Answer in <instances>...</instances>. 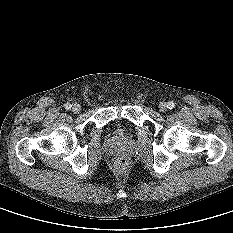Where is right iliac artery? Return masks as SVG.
I'll list each match as a JSON object with an SVG mask.
<instances>
[{
  "label": "right iliac artery",
  "mask_w": 233,
  "mask_h": 233,
  "mask_svg": "<svg viewBox=\"0 0 233 233\" xmlns=\"http://www.w3.org/2000/svg\"><path fill=\"white\" fill-rule=\"evenodd\" d=\"M71 107H72V105L70 103L65 104V109L66 110H70Z\"/></svg>",
  "instance_id": "obj_1"
}]
</instances>
